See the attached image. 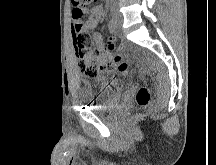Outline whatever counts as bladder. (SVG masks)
I'll return each instance as SVG.
<instances>
[{"mask_svg": "<svg viewBox=\"0 0 216 165\" xmlns=\"http://www.w3.org/2000/svg\"><path fill=\"white\" fill-rule=\"evenodd\" d=\"M96 81H86L87 100L92 111H109L117 97H123L122 76H96Z\"/></svg>", "mask_w": 216, "mask_h": 165, "instance_id": "obj_1", "label": "bladder"}]
</instances>
